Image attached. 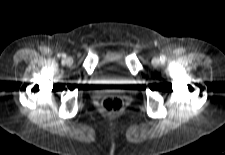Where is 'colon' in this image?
<instances>
[{"label":"colon","instance_id":"colon-1","mask_svg":"<svg viewBox=\"0 0 225 155\" xmlns=\"http://www.w3.org/2000/svg\"><path fill=\"white\" fill-rule=\"evenodd\" d=\"M100 105L107 113H119L124 108V100L119 95H108L101 99Z\"/></svg>","mask_w":225,"mask_h":155}]
</instances>
